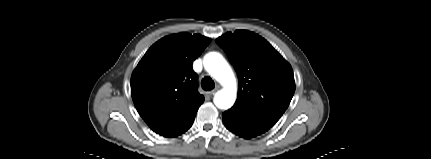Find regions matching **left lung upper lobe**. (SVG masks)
Returning a JSON list of instances; mask_svg holds the SVG:
<instances>
[{
  "instance_id": "1",
  "label": "left lung upper lobe",
  "mask_w": 431,
  "mask_h": 159,
  "mask_svg": "<svg viewBox=\"0 0 431 159\" xmlns=\"http://www.w3.org/2000/svg\"><path fill=\"white\" fill-rule=\"evenodd\" d=\"M228 55L239 80L238 97L229 115L271 128L295 92L290 64L261 36L246 30L216 39Z\"/></svg>"
}]
</instances>
